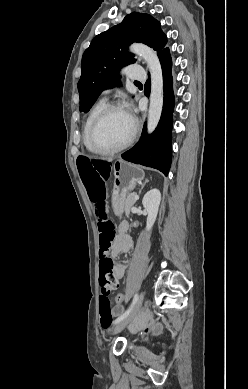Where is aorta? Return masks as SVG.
Listing matches in <instances>:
<instances>
[{
  "label": "aorta",
  "instance_id": "obj_1",
  "mask_svg": "<svg viewBox=\"0 0 248 389\" xmlns=\"http://www.w3.org/2000/svg\"><path fill=\"white\" fill-rule=\"evenodd\" d=\"M131 51L143 57L151 74V93L147 130L152 133L157 127L163 108V74L157 53L143 44H133Z\"/></svg>",
  "mask_w": 248,
  "mask_h": 389
}]
</instances>
